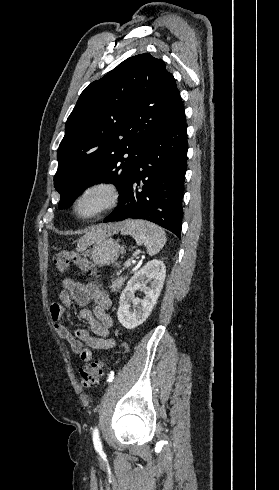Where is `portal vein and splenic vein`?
I'll return each instance as SVG.
<instances>
[{
  "instance_id": "obj_1",
  "label": "portal vein and splenic vein",
  "mask_w": 279,
  "mask_h": 490,
  "mask_svg": "<svg viewBox=\"0 0 279 490\" xmlns=\"http://www.w3.org/2000/svg\"><path fill=\"white\" fill-rule=\"evenodd\" d=\"M131 262L132 260H127V262L124 264L125 268H129V266H131Z\"/></svg>"
}]
</instances>
